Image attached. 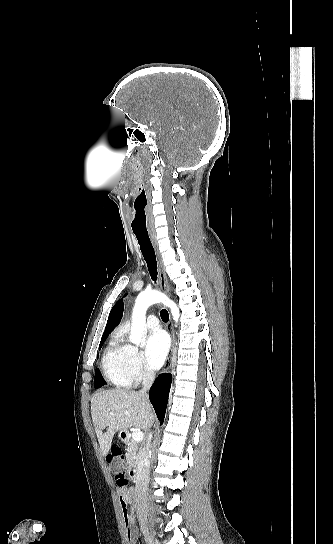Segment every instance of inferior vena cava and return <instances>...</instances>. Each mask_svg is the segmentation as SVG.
Returning <instances> with one entry per match:
<instances>
[{"instance_id":"602c4592","label":"inferior vena cava","mask_w":333,"mask_h":544,"mask_svg":"<svg viewBox=\"0 0 333 544\" xmlns=\"http://www.w3.org/2000/svg\"><path fill=\"white\" fill-rule=\"evenodd\" d=\"M155 374L151 370H145L142 379L141 395H146L151 385L154 382ZM152 440V434L148 436L146 445L140 452L139 463L137 467V476L135 484V504L137 515L140 520H146L147 517V490L150 475L149 462V447Z\"/></svg>"}]
</instances>
